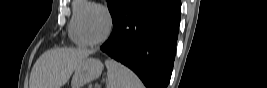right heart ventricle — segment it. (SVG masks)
<instances>
[{
	"mask_svg": "<svg viewBox=\"0 0 267 88\" xmlns=\"http://www.w3.org/2000/svg\"><path fill=\"white\" fill-rule=\"evenodd\" d=\"M94 3L85 0H75L72 3V15L69 21L68 34L72 42L78 46H86V43L80 36L78 23L82 13L93 6Z\"/></svg>",
	"mask_w": 267,
	"mask_h": 88,
	"instance_id": "obj_1",
	"label": "right heart ventricle"
}]
</instances>
